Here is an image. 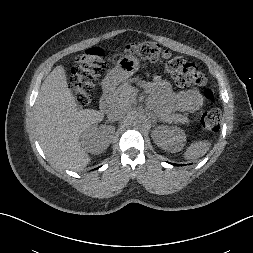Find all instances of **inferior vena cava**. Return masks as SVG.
Listing matches in <instances>:
<instances>
[{"label":"inferior vena cava","instance_id":"inferior-vena-cava-1","mask_svg":"<svg viewBox=\"0 0 253 253\" xmlns=\"http://www.w3.org/2000/svg\"><path fill=\"white\" fill-rule=\"evenodd\" d=\"M128 105L129 103L126 102V104L121 103H113L108 108V114L107 117L109 121H119L124 118L128 111Z\"/></svg>","mask_w":253,"mask_h":253}]
</instances>
